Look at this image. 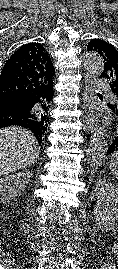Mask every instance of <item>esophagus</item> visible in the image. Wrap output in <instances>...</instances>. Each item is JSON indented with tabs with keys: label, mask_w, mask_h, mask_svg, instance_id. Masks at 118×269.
I'll return each instance as SVG.
<instances>
[{
	"label": "esophagus",
	"mask_w": 118,
	"mask_h": 269,
	"mask_svg": "<svg viewBox=\"0 0 118 269\" xmlns=\"http://www.w3.org/2000/svg\"><path fill=\"white\" fill-rule=\"evenodd\" d=\"M94 89L90 80V77L87 76L85 80V89L83 94V110H84V119L86 122L85 129L87 132L92 133L95 127V117L93 115L92 101H93Z\"/></svg>",
	"instance_id": "obj_1"
}]
</instances>
